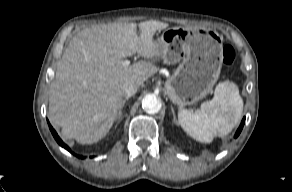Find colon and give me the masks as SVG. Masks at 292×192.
Returning <instances> with one entry per match:
<instances>
[{"label": "colon", "mask_w": 292, "mask_h": 192, "mask_svg": "<svg viewBox=\"0 0 292 192\" xmlns=\"http://www.w3.org/2000/svg\"><path fill=\"white\" fill-rule=\"evenodd\" d=\"M223 63L226 66H231L235 59V52L231 46H224L222 50Z\"/></svg>", "instance_id": "5ec220e1"}]
</instances>
